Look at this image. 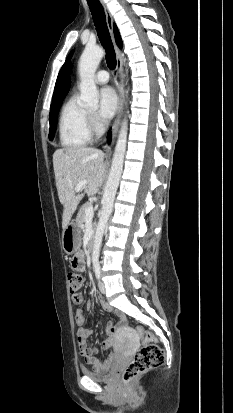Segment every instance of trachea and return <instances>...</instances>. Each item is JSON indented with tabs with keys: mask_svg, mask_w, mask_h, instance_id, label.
Segmentation results:
<instances>
[{
	"mask_svg": "<svg viewBox=\"0 0 233 413\" xmlns=\"http://www.w3.org/2000/svg\"><path fill=\"white\" fill-rule=\"evenodd\" d=\"M87 3L92 14L99 40L106 50L107 65L109 69L113 70L116 67V55L107 27L104 9L99 0H87Z\"/></svg>",
	"mask_w": 233,
	"mask_h": 413,
	"instance_id": "trachea-1",
	"label": "trachea"
}]
</instances>
